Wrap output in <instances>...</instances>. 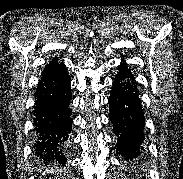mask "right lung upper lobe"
<instances>
[{"instance_id":"right-lung-upper-lobe-1","label":"right lung upper lobe","mask_w":183,"mask_h":179,"mask_svg":"<svg viewBox=\"0 0 183 179\" xmlns=\"http://www.w3.org/2000/svg\"><path fill=\"white\" fill-rule=\"evenodd\" d=\"M55 63H59L58 59H55V60L51 61L49 64H55Z\"/></svg>"}]
</instances>
